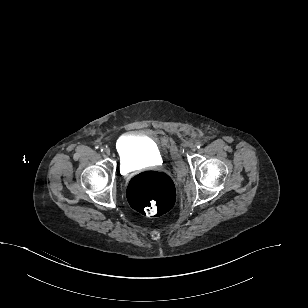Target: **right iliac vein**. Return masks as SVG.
Instances as JSON below:
<instances>
[{
	"instance_id": "1",
	"label": "right iliac vein",
	"mask_w": 308,
	"mask_h": 308,
	"mask_svg": "<svg viewBox=\"0 0 308 308\" xmlns=\"http://www.w3.org/2000/svg\"><path fill=\"white\" fill-rule=\"evenodd\" d=\"M104 153L107 154V155H110V150L106 148V149H104Z\"/></svg>"
}]
</instances>
